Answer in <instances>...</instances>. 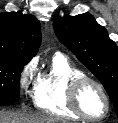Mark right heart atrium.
Segmentation results:
<instances>
[{
    "mask_svg": "<svg viewBox=\"0 0 118 123\" xmlns=\"http://www.w3.org/2000/svg\"><path fill=\"white\" fill-rule=\"evenodd\" d=\"M37 78V62L31 60L22 67L19 73L20 90L25 94H28L30 90L34 91Z\"/></svg>",
    "mask_w": 118,
    "mask_h": 123,
    "instance_id": "right-heart-atrium-1",
    "label": "right heart atrium"
}]
</instances>
